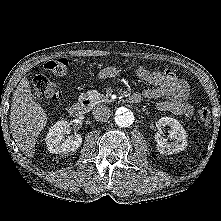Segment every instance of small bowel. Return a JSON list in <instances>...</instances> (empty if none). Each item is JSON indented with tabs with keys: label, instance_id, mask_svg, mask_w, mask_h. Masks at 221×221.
I'll list each match as a JSON object with an SVG mask.
<instances>
[{
	"label": "small bowel",
	"instance_id": "1",
	"mask_svg": "<svg viewBox=\"0 0 221 221\" xmlns=\"http://www.w3.org/2000/svg\"><path fill=\"white\" fill-rule=\"evenodd\" d=\"M136 73L141 79L154 86L142 93L144 98L150 100L165 99L158 104L159 110L179 116H192L193 107L188 103L190 90L185 80L176 76L171 70L150 71L145 68H138ZM119 74L120 71L116 67L109 66L101 69L97 78L107 80Z\"/></svg>",
	"mask_w": 221,
	"mask_h": 221
}]
</instances>
